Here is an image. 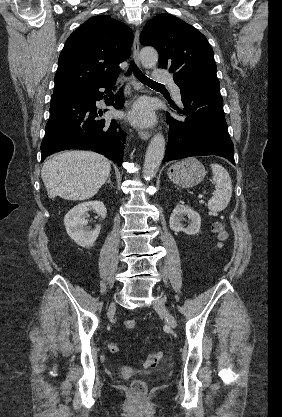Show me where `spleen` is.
<instances>
[{"label":"spleen","mask_w":282,"mask_h":417,"mask_svg":"<svg viewBox=\"0 0 282 417\" xmlns=\"http://www.w3.org/2000/svg\"><path fill=\"white\" fill-rule=\"evenodd\" d=\"M215 184V194L208 200V209L211 213H220L226 209L232 196V182L230 174L221 164H210Z\"/></svg>","instance_id":"obj_1"}]
</instances>
